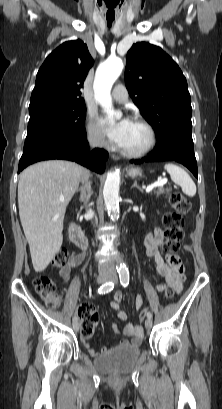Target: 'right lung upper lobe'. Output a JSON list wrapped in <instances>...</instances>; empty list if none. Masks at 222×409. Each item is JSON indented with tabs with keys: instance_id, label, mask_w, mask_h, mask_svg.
Masks as SVG:
<instances>
[{
	"instance_id": "cb5924a9",
	"label": "right lung upper lobe",
	"mask_w": 222,
	"mask_h": 409,
	"mask_svg": "<svg viewBox=\"0 0 222 409\" xmlns=\"http://www.w3.org/2000/svg\"><path fill=\"white\" fill-rule=\"evenodd\" d=\"M92 65L87 45L81 40L60 45L37 73L29 109L50 103L84 102L81 88Z\"/></svg>"
}]
</instances>
